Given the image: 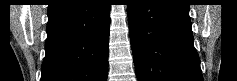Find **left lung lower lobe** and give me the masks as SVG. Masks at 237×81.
Returning <instances> with one entry per match:
<instances>
[{"label": "left lung lower lobe", "mask_w": 237, "mask_h": 81, "mask_svg": "<svg viewBox=\"0 0 237 81\" xmlns=\"http://www.w3.org/2000/svg\"><path fill=\"white\" fill-rule=\"evenodd\" d=\"M138 81H203L185 0H132L127 5Z\"/></svg>", "instance_id": "0a47b994"}]
</instances>
